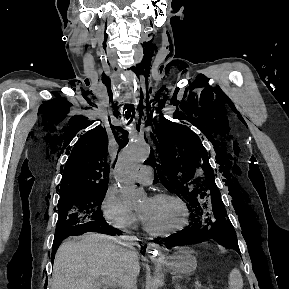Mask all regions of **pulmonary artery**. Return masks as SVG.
Listing matches in <instances>:
<instances>
[{
    "instance_id": "1",
    "label": "pulmonary artery",
    "mask_w": 289,
    "mask_h": 289,
    "mask_svg": "<svg viewBox=\"0 0 289 289\" xmlns=\"http://www.w3.org/2000/svg\"><path fill=\"white\" fill-rule=\"evenodd\" d=\"M153 167L149 164L143 165L135 175L134 179L142 185H150L153 181Z\"/></svg>"
}]
</instances>
